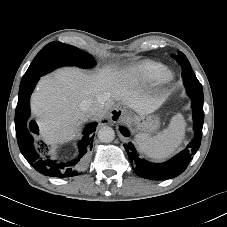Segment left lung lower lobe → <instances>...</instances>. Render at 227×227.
I'll return each instance as SVG.
<instances>
[{"label":"left lung lower lobe","instance_id":"1","mask_svg":"<svg viewBox=\"0 0 227 227\" xmlns=\"http://www.w3.org/2000/svg\"><path fill=\"white\" fill-rule=\"evenodd\" d=\"M192 100L193 120H194V138L188 146L175 157L164 163H151L141 159L132 143L125 144V150L128 154L134 172L143 178L151 180L171 179L181 174L188 166L193 155L197 152L201 144L202 128L204 121L203 112V94H188ZM120 132L124 136H129L126 128L120 127Z\"/></svg>","mask_w":227,"mask_h":227}]
</instances>
